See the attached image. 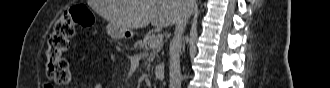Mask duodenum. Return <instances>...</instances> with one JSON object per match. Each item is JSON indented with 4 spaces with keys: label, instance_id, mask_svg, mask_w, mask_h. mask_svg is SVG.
<instances>
[{
    "label": "duodenum",
    "instance_id": "obj_1",
    "mask_svg": "<svg viewBox=\"0 0 330 88\" xmlns=\"http://www.w3.org/2000/svg\"><path fill=\"white\" fill-rule=\"evenodd\" d=\"M164 73H165V67L162 64H156L153 67V75L157 78V79H162L164 77Z\"/></svg>",
    "mask_w": 330,
    "mask_h": 88
}]
</instances>
